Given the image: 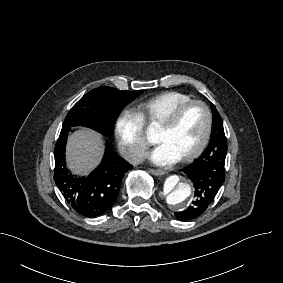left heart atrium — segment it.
<instances>
[{"mask_svg": "<svg viewBox=\"0 0 283 283\" xmlns=\"http://www.w3.org/2000/svg\"><path fill=\"white\" fill-rule=\"evenodd\" d=\"M146 158L152 164L166 166L175 163L179 156L166 143H160L146 155Z\"/></svg>", "mask_w": 283, "mask_h": 283, "instance_id": "left-heart-atrium-1", "label": "left heart atrium"}]
</instances>
